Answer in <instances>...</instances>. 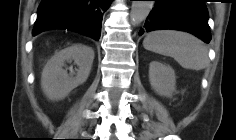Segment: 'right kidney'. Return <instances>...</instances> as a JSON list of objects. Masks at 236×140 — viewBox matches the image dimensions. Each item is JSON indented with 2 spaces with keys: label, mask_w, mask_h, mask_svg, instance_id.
<instances>
[{
  "label": "right kidney",
  "mask_w": 236,
  "mask_h": 140,
  "mask_svg": "<svg viewBox=\"0 0 236 140\" xmlns=\"http://www.w3.org/2000/svg\"><path fill=\"white\" fill-rule=\"evenodd\" d=\"M94 51L85 45L74 44L57 53L47 62L43 69L41 87L50 100L66 97L74 88L83 84L91 71ZM74 63L78 69H64L66 63Z\"/></svg>",
  "instance_id": "ca27d5eb"
}]
</instances>
